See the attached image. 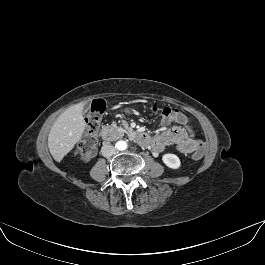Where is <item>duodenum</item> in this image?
Instances as JSON below:
<instances>
[{
    "label": "duodenum",
    "instance_id": "duodenum-1",
    "mask_svg": "<svg viewBox=\"0 0 265 265\" xmlns=\"http://www.w3.org/2000/svg\"><path fill=\"white\" fill-rule=\"evenodd\" d=\"M119 131L116 128L105 126L101 130V138L105 143L117 138ZM129 137L137 141L142 146H149L151 144L150 136L142 131H136L129 134Z\"/></svg>",
    "mask_w": 265,
    "mask_h": 265
}]
</instances>
